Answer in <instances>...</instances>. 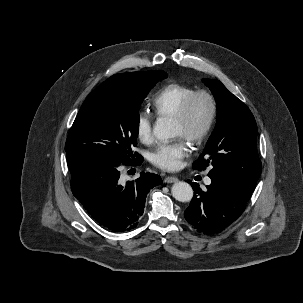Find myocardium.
Segmentation results:
<instances>
[{
  "label": "myocardium",
  "instance_id": "f54148a6",
  "mask_svg": "<svg viewBox=\"0 0 303 303\" xmlns=\"http://www.w3.org/2000/svg\"><path fill=\"white\" fill-rule=\"evenodd\" d=\"M199 97H205L207 99L209 103V113L202 129L196 135L189 139V141L195 145H200L206 139L215 122L217 115V102L213 94L207 90L194 91L185 99L180 109L173 117V120L177 122L183 124L186 123L189 119L192 106L196 99H198Z\"/></svg>",
  "mask_w": 303,
  "mask_h": 303
}]
</instances>
